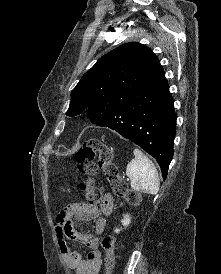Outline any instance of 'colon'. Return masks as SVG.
Returning <instances> with one entry per match:
<instances>
[{"label":"colon","mask_w":221,"mask_h":274,"mask_svg":"<svg viewBox=\"0 0 221 274\" xmlns=\"http://www.w3.org/2000/svg\"><path fill=\"white\" fill-rule=\"evenodd\" d=\"M96 155H98L97 162L95 161ZM75 158L81 174L92 177L101 169L118 197L125 199L131 205H139L141 201L139 193L130 189L127 182L120 176L112 160V151L108 146L96 139L88 140L77 151ZM80 189L91 204L101 203L105 196L103 189L96 186L91 179L81 183ZM102 248L105 252L106 272L110 274L115 265L114 239L111 236L104 237Z\"/></svg>","instance_id":"5ec220e1"}]
</instances>
